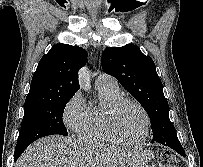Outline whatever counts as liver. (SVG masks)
<instances>
[{"instance_id": "obj_1", "label": "liver", "mask_w": 203, "mask_h": 167, "mask_svg": "<svg viewBox=\"0 0 203 167\" xmlns=\"http://www.w3.org/2000/svg\"><path fill=\"white\" fill-rule=\"evenodd\" d=\"M147 162L137 152L56 135L32 143L15 167H144Z\"/></svg>"}]
</instances>
